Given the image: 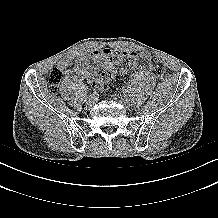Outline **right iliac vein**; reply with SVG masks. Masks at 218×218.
<instances>
[{"label":"right iliac vein","mask_w":218,"mask_h":218,"mask_svg":"<svg viewBox=\"0 0 218 218\" xmlns=\"http://www.w3.org/2000/svg\"><path fill=\"white\" fill-rule=\"evenodd\" d=\"M96 102V97L95 96H92V97H88L86 99V102H85V106L86 108H91Z\"/></svg>","instance_id":"1"}]
</instances>
